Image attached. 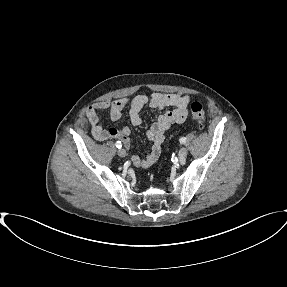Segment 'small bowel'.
<instances>
[{"mask_svg":"<svg viewBox=\"0 0 287 287\" xmlns=\"http://www.w3.org/2000/svg\"><path fill=\"white\" fill-rule=\"evenodd\" d=\"M189 97L182 94H168L155 92L151 95L139 94L131 100L120 98L112 101L97 102L86 109V117L91 125L93 137L97 141H106L109 139H118L125 146L130 145V128L122 127L120 129L111 127L104 128L100 124L99 112L109 111L113 121H117L122 116V111L126 105H130L129 117L133 126H139L142 123L140 111L146 105L151 108L162 110L166 107H173L172 111H167L160 115L152 123L147 132L148 139L153 143L149 155L144 158L132 156V163L139 168H148L153 165L160 157L161 146L165 139V133L174 125L181 124L188 116Z\"/></svg>","mask_w":287,"mask_h":287,"instance_id":"1","label":"small bowel"}]
</instances>
